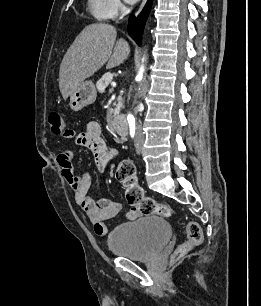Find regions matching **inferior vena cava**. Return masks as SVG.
<instances>
[{"label":"inferior vena cava","mask_w":261,"mask_h":306,"mask_svg":"<svg viewBox=\"0 0 261 306\" xmlns=\"http://www.w3.org/2000/svg\"><path fill=\"white\" fill-rule=\"evenodd\" d=\"M138 129H139V133L141 134V126L140 125L138 126Z\"/></svg>","instance_id":"602c4592"}]
</instances>
